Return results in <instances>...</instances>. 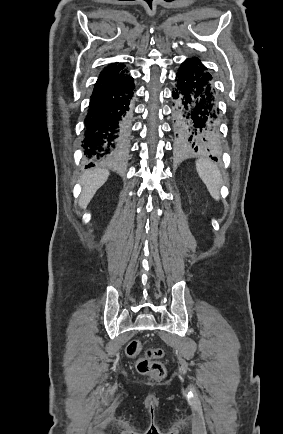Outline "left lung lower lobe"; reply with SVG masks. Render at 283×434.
<instances>
[{
  "mask_svg": "<svg viewBox=\"0 0 283 434\" xmlns=\"http://www.w3.org/2000/svg\"><path fill=\"white\" fill-rule=\"evenodd\" d=\"M172 106L176 145L216 153L219 109L214 81L206 67L191 59L181 64L175 77Z\"/></svg>",
  "mask_w": 283,
  "mask_h": 434,
  "instance_id": "0a47b994",
  "label": "left lung lower lobe"
}]
</instances>
